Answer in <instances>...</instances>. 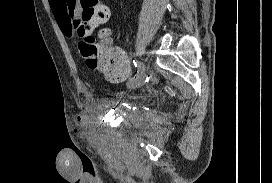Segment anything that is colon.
I'll return each mask as SVG.
<instances>
[{
  "instance_id": "1",
  "label": "colon",
  "mask_w": 272,
  "mask_h": 183,
  "mask_svg": "<svg viewBox=\"0 0 272 183\" xmlns=\"http://www.w3.org/2000/svg\"><path fill=\"white\" fill-rule=\"evenodd\" d=\"M67 15L69 28L84 38L80 51L87 66L99 69L113 65L116 56L96 43L92 36L93 31L108 20V7L101 0H67Z\"/></svg>"
}]
</instances>
